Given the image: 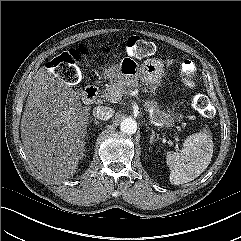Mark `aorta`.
I'll list each match as a JSON object with an SVG mask.
<instances>
[{
    "mask_svg": "<svg viewBox=\"0 0 241 241\" xmlns=\"http://www.w3.org/2000/svg\"><path fill=\"white\" fill-rule=\"evenodd\" d=\"M120 130L123 133L132 135L137 131V123L132 118H125L120 124Z\"/></svg>",
    "mask_w": 241,
    "mask_h": 241,
    "instance_id": "762f6f07",
    "label": "aorta"
}]
</instances>
